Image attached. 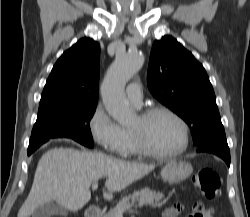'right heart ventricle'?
Returning a JSON list of instances; mask_svg holds the SVG:
<instances>
[{
    "instance_id": "obj_1",
    "label": "right heart ventricle",
    "mask_w": 250,
    "mask_h": 217,
    "mask_svg": "<svg viewBox=\"0 0 250 217\" xmlns=\"http://www.w3.org/2000/svg\"><path fill=\"white\" fill-rule=\"evenodd\" d=\"M122 130H123L124 137H125V148H124L122 155L134 156V155L141 154V152L137 148V145L135 143L131 130L126 129V128H123Z\"/></svg>"
}]
</instances>
